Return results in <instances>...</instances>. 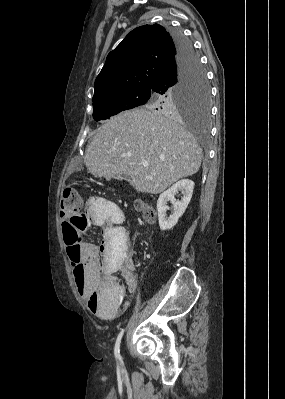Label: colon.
Here are the masks:
<instances>
[{"instance_id": "colon-1", "label": "colon", "mask_w": 285, "mask_h": 399, "mask_svg": "<svg viewBox=\"0 0 285 399\" xmlns=\"http://www.w3.org/2000/svg\"><path fill=\"white\" fill-rule=\"evenodd\" d=\"M136 207H143L141 202L136 203ZM83 206L80 201L78 190L75 186H68L64 189L60 201V210L65 215V220L61 224L63 239L67 246V252L72 264L73 285L76 291L82 287L84 267L78 264L81 249L78 245L82 238L81 230L86 226L87 221L83 213ZM145 217L147 220L155 218L153 210H147ZM120 228L118 259H123L127 255V241L122 223Z\"/></svg>"}]
</instances>
